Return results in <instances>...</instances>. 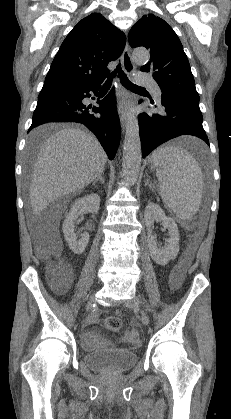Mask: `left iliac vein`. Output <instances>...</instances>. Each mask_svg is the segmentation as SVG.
<instances>
[{
    "mask_svg": "<svg viewBox=\"0 0 231 419\" xmlns=\"http://www.w3.org/2000/svg\"><path fill=\"white\" fill-rule=\"evenodd\" d=\"M139 302H140V299L138 297H133L132 299L127 300L125 302V305L128 308L137 310L138 309V303ZM141 322L144 325H148L149 324V317H148V315L146 313H142V315H141Z\"/></svg>",
    "mask_w": 231,
    "mask_h": 419,
    "instance_id": "4c4485c4",
    "label": "left iliac vein"
}]
</instances>
